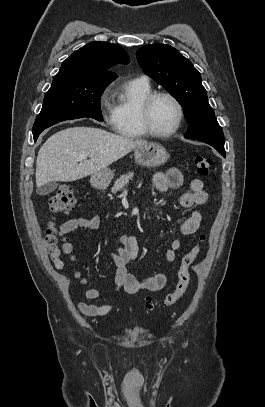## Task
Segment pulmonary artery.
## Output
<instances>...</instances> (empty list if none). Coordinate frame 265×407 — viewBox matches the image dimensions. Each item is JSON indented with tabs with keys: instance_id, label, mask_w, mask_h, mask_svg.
I'll use <instances>...</instances> for the list:
<instances>
[{
	"instance_id": "1",
	"label": "pulmonary artery",
	"mask_w": 265,
	"mask_h": 407,
	"mask_svg": "<svg viewBox=\"0 0 265 407\" xmlns=\"http://www.w3.org/2000/svg\"><path fill=\"white\" fill-rule=\"evenodd\" d=\"M141 78L148 81V77L146 76H142Z\"/></svg>"
}]
</instances>
